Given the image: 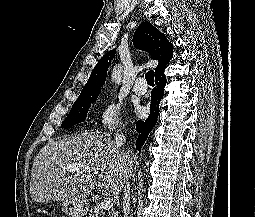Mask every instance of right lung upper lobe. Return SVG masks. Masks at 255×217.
<instances>
[{"label": "right lung upper lobe", "instance_id": "1", "mask_svg": "<svg viewBox=\"0 0 255 217\" xmlns=\"http://www.w3.org/2000/svg\"><path fill=\"white\" fill-rule=\"evenodd\" d=\"M133 43L136 48L147 51L152 59L158 60L155 76L164 71L165 66L172 57V44L167 41L164 34L160 33L151 23L142 22L135 31ZM115 53V50H111L99 60L80 94L100 92Z\"/></svg>", "mask_w": 255, "mask_h": 217}]
</instances>
